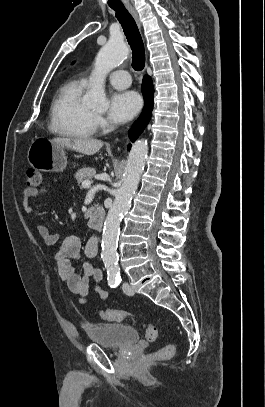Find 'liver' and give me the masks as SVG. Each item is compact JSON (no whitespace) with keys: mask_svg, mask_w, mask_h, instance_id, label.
<instances>
[{"mask_svg":"<svg viewBox=\"0 0 265 407\" xmlns=\"http://www.w3.org/2000/svg\"><path fill=\"white\" fill-rule=\"evenodd\" d=\"M57 145L62 147H68L85 155H94L103 146L101 140L92 139V138H78V139H69L57 137L52 140Z\"/></svg>","mask_w":265,"mask_h":407,"instance_id":"obj_1","label":"liver"}]
</instances>
